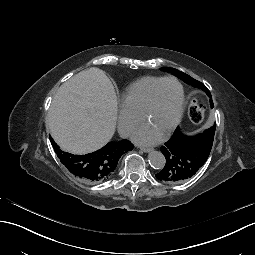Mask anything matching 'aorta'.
Segmentation results:
<instances>
[{"label":"aorta","mask_w":255,"mask_h":255,"mask_svg":"<svg viewBox=\"0 0 255 255\" xmlns=\"http://www.w3.org/2000/svg\"><path fill=\"white\" fill-rule=\"evenodd\" d=\"M148 161L152 168L161 170L165 166L166 159L164 155L159 151H152L148 155Z\"/></svg>","instance_id":"762f6f07"}]
</instances>
